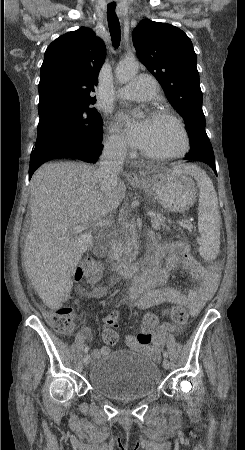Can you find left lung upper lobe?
<instances>
[{
	"instance_id": "obj_1",
	"label": "left lung upper lobe",
	"mask_w": 245,
	"mask_h": 450,
	"mask_svg": "<svg viewBox=\"0 0 245 450\" xmlns=\"http://www.w3.org/2000/svg\"><path fill=\"white\" fill-rule=\"evenodd\" d=\"M132 35L137 57L158 80L169 102L185 121L190 138L188 154L210 147L197 57L190 38L173 25L148 19L142 20Z\"/></svg>"
}]
</instances>
